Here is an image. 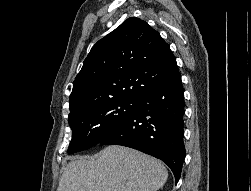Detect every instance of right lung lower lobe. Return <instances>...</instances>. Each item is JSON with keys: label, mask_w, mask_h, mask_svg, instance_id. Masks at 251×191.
<instances>
[{"label": "right lung lower lobe", "mask_w": 251, "mask_h": 191, "mask_svg": "<svg viewBox=\"0 0 251 191\" xmlns=\"http://www.w3.org/2000/svg\"><path fill=\"white\" fill-rule=\"evenodd\" d=\"M136 102L129 118L99 144L123 145L159 158L170 167L177 183L186 154L181 74Z\"/></svg>", "instance_id": "right-lung-lower-lobe-1"}]
</instances>
